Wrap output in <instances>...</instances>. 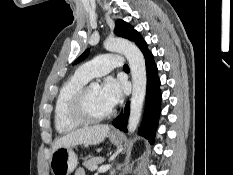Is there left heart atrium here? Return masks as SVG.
Listing matches in <instances>:
<instances>
[{
    "mask_svg": "<svg viewBox=\"0 0 233 175\" xmlns=\"http://www.w3.org/2000/svg\"><path fill=\"white\" fill-rule=\"evenodd\" d=\"M123 94V83L114 78H107L101 87V96L111 109L122 100Z\"/></svg>",
    "mask_w": 233,
    "mask_h": 175,
    "instance_id": "1",
    "label": "left heart atrium"
}]
</instances>
